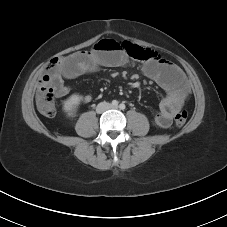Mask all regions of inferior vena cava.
Instances as JSON below:
<instances>
[{"label":"inferior vena cava","mask_w":227,"mask_h":227,"mask_svg":"<svg viewBox=\"0 0 227 227\" xmlns=\"http://www.w3.org/2000/svg\"><path fill=\"white\" fill-rule=\"evenodd\" d=\"M110 108V104L107 102H101L96 107L97 113H102Z\"/></svg>","instance_id":"obj_1"}]
</instances>
